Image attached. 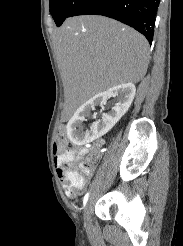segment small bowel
<instances>
[{"label": "small bowel", "mask_w": 183, "mask_h": 246, "mask_svg": "<svg viewBox=\"0 0 183 246\" xmlns=\"http://www.w3.org/2000/svg\"><path fill=\"white\" fill-rule=\"evenodd\" d=\"M86 153H87V149L86 148H81L78 151V155L79 156L85 155ZM75 158H76V152L73 151V150H69L67 153H65V154H63L61 156H58L56 158V166H57V174H58V177L61 180L65 191L68 194H70V195H73V194H72V192H71V190L69 188L68 178H67L66 171L63 168V164L64 163L71 162V161L75 160ZM83 185H84V182H83ZM83 185H82V187H83ZM82 187H81V189H82Z\"/></svg>", "instance_id": "c3829d8e"}]
</instances>
